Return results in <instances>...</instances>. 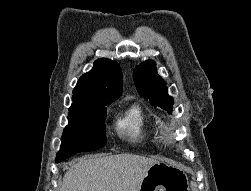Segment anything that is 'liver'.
Returning a JSON list of instances; mask_svg holds the SVG:
<instances>
[{"label":"liver","mask_w":251,"mask_h":191,"mask_svg":"<svg viewBox=\"0 0 251 191\" xmlns=\"http://www.w3.org/2000/svg\"><path fill=\"white\" fill-rule=\"evenodd\" d=\"M154 163L157 159L134 153L87 155L67 167L60 191H140Z\"/></svg>","instance_id":"6515ba94"}]
</instances>
